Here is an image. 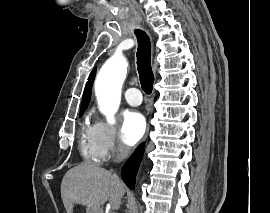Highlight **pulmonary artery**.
<instances>
[{"instance_id":"pulmonary-artery-1","label":"pulmonary artery","mask_w":270,"mask_h":213,"mask_svg":"<svg viewBox=\"0 0 270 213\" xmlns=\"http://www.w3.org/2000/svg\"><path fill=\"white\" fill-rule=\"evenodd\" d=\"M125 99L128 104L138 106L142 102V95L137 88H129L125 92Z\"/></svg>"}]
</instances>
